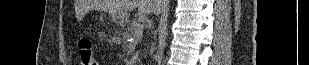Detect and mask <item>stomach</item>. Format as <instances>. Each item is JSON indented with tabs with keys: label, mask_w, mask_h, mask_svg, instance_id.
Returning a JSON list of instances; mask_svg holds the SVG:
<instances>
[{
	"label": "stomach",
	"mask_w": 309,
	"mask_h": 65,
	"mask_svg": "<svg viewBox=\"0 0 309 65\" xmlns=\"http://www.w3.org/2000/svg\"><path fill=\"white\" fill-rule=\"evenodd\" d=\"M112 18L118 24H125L128 21V15L125 12H114Z\"/></svg>",
	"instance_id": "obj_1"
}]
</instances>
